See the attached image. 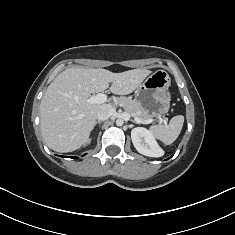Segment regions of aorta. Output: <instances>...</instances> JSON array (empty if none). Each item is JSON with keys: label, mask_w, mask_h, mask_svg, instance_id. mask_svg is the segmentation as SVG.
I'll return each instance as SVG.
<instances>
[{"label": "aorta", "mask_w": 235, "mask_h": 235, "mask_svg": "<svg viewBox=\"0 0 235 235\" xmlns=\"http://www.w3.org/2000/svg\"><path fill=\"white\" fill-rule=\"evenodd\" d=\"M123 124H124V120L123 119L119 118V119L116 120V125L117 126H122Z\"/></svg>", "instance_id": "obj_1"}]
</instances>
